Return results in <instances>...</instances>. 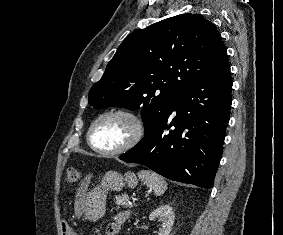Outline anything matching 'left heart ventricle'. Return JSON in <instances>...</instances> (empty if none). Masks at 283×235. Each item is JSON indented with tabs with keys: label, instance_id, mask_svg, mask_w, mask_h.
I'll use <instances>...</instances> for the list:
<instances>
[{
	"label": "left heart ventricle",
	"instance_id": "left-heart-ventricle-1",
	"mask_svg": "<svg viewBox=\"0 0 283 235\" xmlns=\"http://www.w3.org/2000/svg\"><path fill=\"white\" fill-rule=\"evenodd\" d=\"M132 125L121 116H111L102 120L93 133L92 141L104 150L115 149L124 144L130 137Z\"/></svg>",
	"mask_w": 283,
	"mask_h": 235
}]
</instances>
